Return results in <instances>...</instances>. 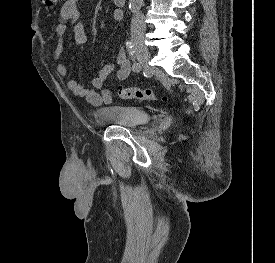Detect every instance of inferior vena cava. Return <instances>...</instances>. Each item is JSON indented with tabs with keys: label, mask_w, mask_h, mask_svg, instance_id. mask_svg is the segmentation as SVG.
Here are the masks:
<instances>
[{
	"label": "inferior vena cava",
	"mask_w": 275,
	"mask_h": 263,
	"mask_svg": "<svg viewBox=\"0 0 275 263\" xmlns=\"http://www.w3.org/2000/svg\"><path fill=\"white\" fill-rule=\"evenodd\" d=\"M145 29L146 24L144 15L140 11L135 12L131 21L132 34L143 33Z\"/></svg>",
	"instance_id": "inferior-vena-cava-1"
}]
</instances>
